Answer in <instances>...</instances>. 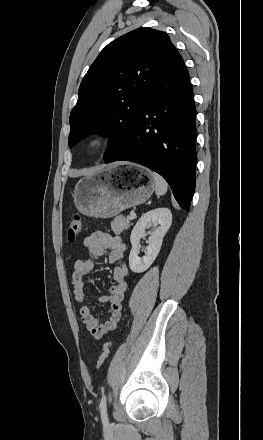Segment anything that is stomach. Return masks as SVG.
<instances>
[{"label": "stomach", "instance_id": "1", "mask_svg": "<svg viewBox=\"0 0 263 440\" xmlns=\"http://www.w3.org/2000/svg\"><path fill=\"white\" fill-rule=\"evenodd\" d=\"M128 171L107 166L80 179L73 192L77 210L106 219L147 201L155 189L152 172L134 165Z\"/></svg>", "mask_w": 263, "mask_h": 440}]
</instances>
